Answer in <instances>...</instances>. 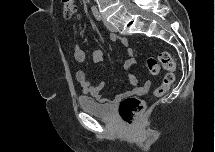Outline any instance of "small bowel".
<instances>
[{
    "label": "small bowel",
    "instance_id": "small-bowel-1",
    "mask_svg": "<svg viewBox=\"0 0 215 152\" xmlns=\"http://www.w3.org/2000/svg\"><path fill=\"white\" fill-rule=\"evenodd\" d=\"M108 38L112 42H116L119 40V36L116 34H110ZM120 41H121L122 45H124L125 47L128 46L127 39L122 38V39H120ZM73 55H74V59L77 62H83L86 57L84 50L81 47H79L78 45H75L73 47ZM92 58L95 63L103 62L104 61L103 51L102 50L95 51L93 53ZM134 65H136V60L132 57L131 49H128V59L126 60V66L132 67ZM76 80L80 84L82 92L84 94L90 95L99 101H102V102L105 101V99L101 95L102 90L105 85L104 82H100L98 85L93 86L89 82L86 72L83 70H79L76 72ZM129 82L134 87L131 93L135 94V95H142V94L147 93V91L150 87L149 81L144 82L142 85H138V79L134 75L130 76Z\"/></svg>",
    "mask_w": 215,
    "mask_h": 152
}]
</instances>
